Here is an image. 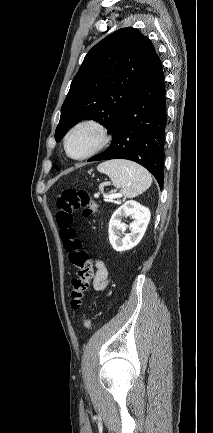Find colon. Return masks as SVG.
<instances>
[{
    "mask_svg": "<svg viewBox=\"0 0 213 433\" xmlns=\"http://www.w3.org/2000/svg\"><path fill=\"white\" fill-rule=\"evenodd\" d=\"M81 211L84 218H91L98 212L95 201L84 189H65L57 200L56 222L60 228V236L71 264L76 273L71 279L70 306L78 309L83 303L85 293L89 289L93 277L92 264L88 254L82 249V243L77 237V231L72 226L74 213ZM86 329L93 326L89 317H83Z\"/></svg>",
    "mask_w": 213,
    "mask_h": 433,
    "instance_id": "obj_1",
    "label": "colon"
}]
</instances>
